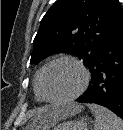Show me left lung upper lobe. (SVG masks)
Wrapping results in <instances>:
<instances>
[{"instance_id":"obj_1","label":"left lung upper lobe","mask_w":123,"mask_h":130,"mask_svg":"<svg viewBox=\"0 0 123 130\" xmlns=\"http://www.w3.org/2000/svg\"><path fill=\"white\" fill-rule=\"evenodd\" d=\"M122 23L118 0H57L41 20L30 63L65 52L83 59L90 68Z\"/></svg>"}]
</instances>
